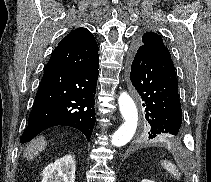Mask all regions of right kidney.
<instances>
[{"label": "right kidney", "instance_id": "right-kidney-1", "mask_svg": "<svg viewBox=\"0 0 211 182\" xmlns=\"http://www.w3.org/2000/svg\"><path fill=\"white\" fill-rule=\"evenodd\" d=\"M75 159L65 155L43 170L41 182H75Z\"/></svg>", "mask_w": 211, "mask_h": 182}]
</instances>
